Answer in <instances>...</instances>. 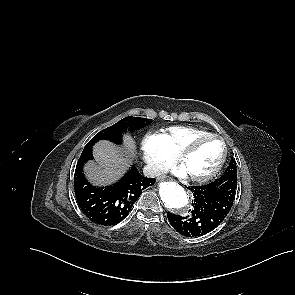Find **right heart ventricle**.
Returning <instances> with one entry per match:
<instances>
[{"instance_id": "1", "label": "right heart ventricle", "mask_w": 295, "mask_h": 295, "mask_svg": "<svg viewBox=\"0 0 295 295\" xmlns=\"http://www.w3.org/2000/svg\"><path fill=\"white\" fill-rule=\"evenodd\" d=\"M209 134V132L188 126H173L159 133L164 147L175 157L194 138Z\"/></svg>"}]
</instances>
